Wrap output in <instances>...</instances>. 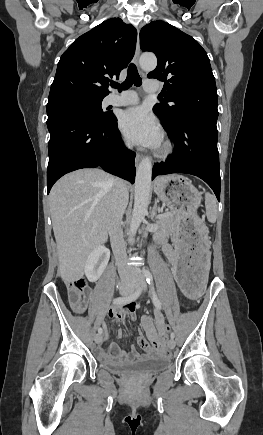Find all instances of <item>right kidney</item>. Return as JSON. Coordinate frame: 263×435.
I'll use <instances>...</instances> for the list:
<instances>
[{"instance_id": "1", "label": "right kidney", "mask_w": 263, "mask_h": 435, "mask_svg": "<svg viewBox=\"0 0 263 435\" xmlns=\"http://www.w3.org/2000/svg\"><path fill=\"white\" fill-rule=\"evenodd\" d=\"M110 258V252L104 246H97L87 257L85 275L90 282L97 281L104 272Z\"/></svg>"}]
</instances>
